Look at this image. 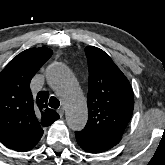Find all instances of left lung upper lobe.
<instances>
[{"label": "left lung upper lobe", "mask_w": 165, "mask_h": 165, "mask_svg": "<svg viewBox=\"0 0 165 165\" xmlns=\"http://www.w3.org/2000/svg\"><path fill=\"white\" fill-rule=\"evenodd\" d=\"M89 67L88 122L83 131L115 146L132 116V87L112 59L101 49L85 48Z\"/></svg>", "instance_id": "obj_1"}]
</instances>
